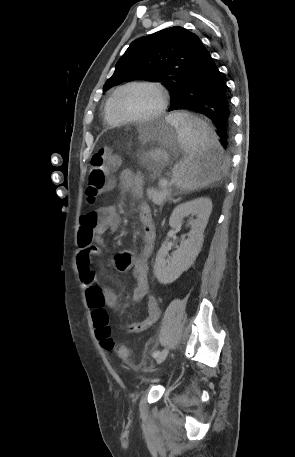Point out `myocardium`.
<instances>
[{
    "label": "myocardium",
    "instance_id": "1",
    "mask_svg": "<svg viewBox=\"0 0 295 457\" xmlns=\"http://www.w3.org/2000/svg\"><path fill=\"white\" fill-rule=\"evenodd\" d=\"M132 86H149V87H152L154 88L157 93H158V96H159V106L158 108L146 115V116H143V117H124V116H121L117 111H116V107H115V102H116V98L118 96V94L126 89V88H129V87H132ZM167 104H168V97H167V92L165 90V88L158 82H153V81H131V82H128L126 84H123L121 86H119L112 94L111 96V101H110V110H111V113L112 115L114 116V118H116L119 122H122V123H143V122H148V121H152L158 117H160L166 107H167Z\"/></svg>",
    "mask_w": 295,
    "mask_h": 457
}]
</instances>
